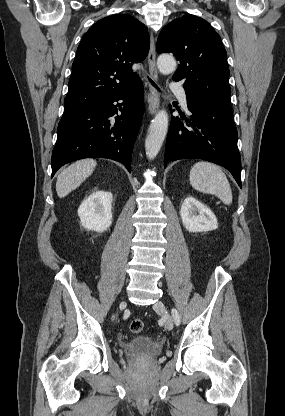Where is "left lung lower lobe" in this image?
I'll list each match as a JSON object with an SVG mask.
<instances>
[{
    "label": "left lung lower lobe",
    "mask_w": 285,
    "mask_h": 416,
    "mask_svg": "<svg viewBox=\"0 0 285 416\" xmlns=\"http://www.w3.org/2000/svg\"><path fill=\"white\" fill-rule=\"evenodd\" d=\"M192 112L185 128L178 117L171 119L164 167L172 160L198 158L225 167L241 186V157L237 148V129L232 110L187 100ZM184 119V118H182Z\"/></svg>",
    "instance_id": "0a47b994"
}]
</instances>
